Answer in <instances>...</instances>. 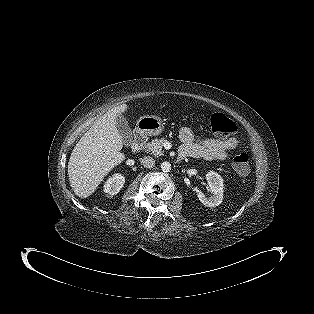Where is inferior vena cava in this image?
I'll use <instances>...</instances> for the list:
<instances>
[{
    "instance_id": "obj_1",
    "label": "inferior vena cava",
    "mask_w": 314,
    "mask_h": 314,
    "mask_svg": "<svg viewBox=\"0 0 314 314\" xmlns=\"http://www.w3.org/2000/svg\"><path fill=\"white\" fill-rule=\"evenodd\" d=\"M141 163L145 168H152L155 165V160L152 157H143Z\"/></svg>"
}]
</instances>
